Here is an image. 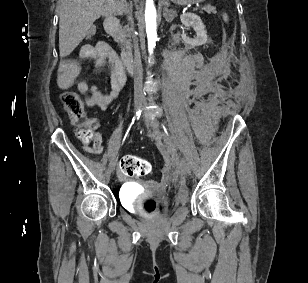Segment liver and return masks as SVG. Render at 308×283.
<instances>
[{"instance_id": "liver-1", "label": "liver", "mask_w": 308, "mask_h": 283, "mask_svg": "<svg viewBox=\"0 0 308 283\" xmlns=\"http://www.w3.org/2000/svg\"><path fill=\"white\" fill-rule=\"evenodd\" d=\"M125 0H60L59 51L66 57L101 16L121 14Z\"/></svg>"}]
</instances>
